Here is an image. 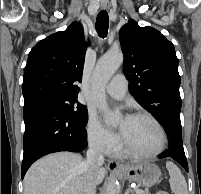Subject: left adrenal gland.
Instances as JSON below:
<instances>
[{"instance_id":"1","label":"left adrenal gland","mask_w":201,"mask_h":194,"mask_svg":"<svg viewBox=\"0 0 201 194\" xmlns=\"http://www.w3.org/2000/svg\"><path fill=\"white\" fill-rule=\"evenodd\" d=\"M133 191L131 190V188L129 187L127 190H126V192H125V194H129V193H132Z\"/></svg>"}]
</instances>
